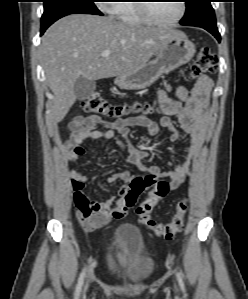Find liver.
<instances>
[{
	"mask_svg": "<svg viewBox=\"0 0 248 299\" xmlns=\"http://www.w3.org/2000/svg\"><path fill=\"white\" fill-rule=\"evenodd\" d=\"M178 34L183 33L88 14L68 15L56 21L44 33L40 45L54 96L52 121H62L75 103L77 78L95 81L137 71ZM105 50L110 51L108 57H102Z\"/></svg>",
	"mask_w": 248,
	"mask_h": 299,
	"instance_id": "liver-1",
	"label": "liver"
}]
</instances>
